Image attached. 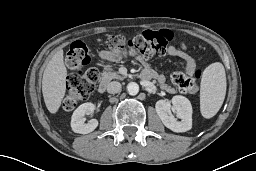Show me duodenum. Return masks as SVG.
<instances>
[{
    "instance_id": "obj_1",
    "label": "duodenum",
    "mask_w": 256,
    "mask_h": 171,
    "mask_svg": "<svg viewBox=\"0 0 256 171\" xmlns=\"http://www.w3.org/2000/svg\"><path fill=\"white\" fill-rule=\"evenodd\" d=\"M107 86H108V79L103 78L98 85V92L104 93L107 89Z\"/></svg>"
}]
</instances>
